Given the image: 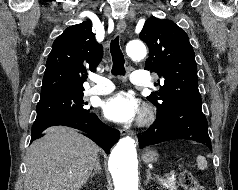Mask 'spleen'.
<instances>
[{"instance_id": "obj_1", "label": "spleen", "mask_w": 238, "mask_h": 190, "mask_svg": "<svg viewBox=\"0 0 238 190\" xmlns=\"http://www.w3.org/2000/svg\"><path fill=\"white\" fill-rule=\"evenodd\" d=\"M197 166L200 170H205L207 168V161L206 158L199 155L197 157Z\"/></svg>"}]
</instances>
